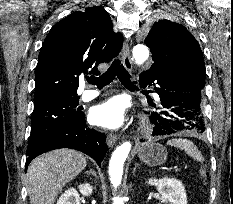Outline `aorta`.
Masks as SVG:
<instances>
[{"label": "aorta", "instance_id": "1", "mask_svg": "<svg viewBox=\"0 0 233 204\" xmlns=\"http://www.w3.org/2000/svg\"><path fill=\"white\" fill-rule=\"evenodd\" d=\"M133 58L136 64L141 65L149 57V50L143 44H138L133 48ZM131 150V143L124 142L118 146L112 154L109 162V175L112 186L116 189L121 184L123 175V165Z\"/></svg>", "mask_w": 233, "mask_h": 204}]
</instances>
